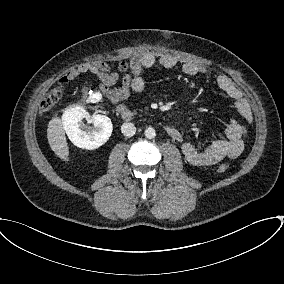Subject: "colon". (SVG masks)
<instances>
[{"label": "colon", "mask_w": 284, "mask_h": 284, "mask_svg": "<svg viewBox=\"0 0 284 284\" xmlns=\"http://www.w3.org/2000/svg\"><path fill=\"white\" fill-rule=\"evenodd\" d=\"M118 69L121 72H127L129 69V65L126 62H121L118 65ZM62 95H63V85H60L49 91L41 101L40 113L46 114L47 112H49L61 99ZM227 170H228L227 164H221L218 167V171L221 173L226 172Z\"/></svg>", "instance_id": "1"}]
</instances>
